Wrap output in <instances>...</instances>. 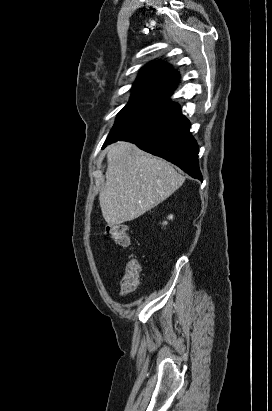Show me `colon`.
Masks as SVG:
<instances>
[{
	"instance_id": "5ec220e1",
	"label": "colon",
	"mask_w": 272,
	"mask_h": 411,
	"mask_svg": "<svg viewBox=\"0 0 272 411\" xmlns=\"http://www.w3.org/2000/svg\"><path fill=\"white\" fill-rule=\"evenodd\" d=\"M105 234L116 243L128 246L131 242L128 229L125 225L115 224L108 225L105 228ZM142 271V266L137 259H131L125 266L120 286L123 295L134 292L138 285Z\"/></svg>"
}]
</instances>
